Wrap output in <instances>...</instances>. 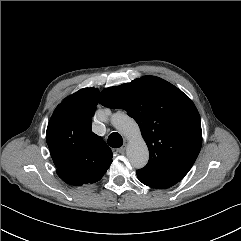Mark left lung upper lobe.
<instances>
[{
  "label": "left lung upper lobe",
  "instance_id": "left-lung-upper-lobe-1",
  "mask_svg": "<svg viewBox=\"0 0 241 241\" xmlns=\"http://www.w3.org/2000/svg\"><path fill=\"white\" fill-rule=\"evenodd\" d=\"M99 103L124 109L138 123L148 145L144 170L179 182L202 145L200 116L191 99L169 82L144 76L103 90Z\"/></svg>",
  "mask_w": 241,
  "mask_h": 241
}]
</instances>
